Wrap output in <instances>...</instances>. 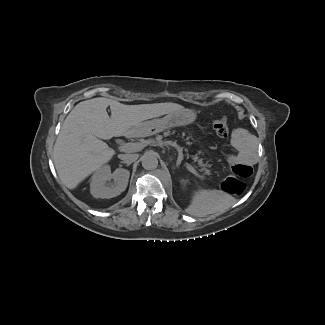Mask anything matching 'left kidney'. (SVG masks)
<instances>
[{
    "label": "left kidney",
    "mask_w": 325,
    "mask_h": 325,
    "mask_svg": "<svg viewBox=\"0 0 325 325\" xmlns=\"http://www.w3.org/2000/svg\"><path fill=\"white\" fill-rule=\"evenodd\" d=\"M181 183H182L183 185H185V184H186V181H185V180H182Z\"/></svg>",
    "instance_id": "left-kidney-1"
}]
</instances>
